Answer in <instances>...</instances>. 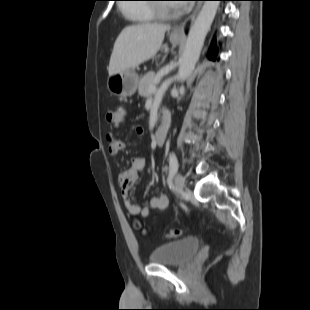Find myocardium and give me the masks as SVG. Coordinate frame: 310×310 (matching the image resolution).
Wrapping results in <instances>:
<instances>
[{"mask_svg": "<svg viewBox=\"0 0 310 310\" xmlns=\"http://www.w3.org/2000/svg\"><path fill=\"white\" fill-rule=\"evenodd\" d=\"M157 17L161 19H168L177 14V11L170 5L157 4L153 7Z\"/></svg>", "mask_w": 310, "mask_h": 310, "instance_id": "f54148a6", "label": "myocardium"}]
</instances>
